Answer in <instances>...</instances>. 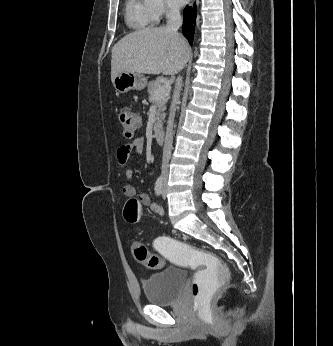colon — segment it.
Instances as JSON below:
<instances>
[{"mask_svg": "<svg viewBox=\"0 0 333 346\" xmlns=\"http://www.w3.org/2000/svg\"><path fill=\"white\" fill-rule=\"evenodd\" d=\"M119 120L123 136L131 139L139 128L138 116L124 107L119 111ZM123 216L127 223H137L140 216L139 200L129 199L124 206ZM155 239L157 241L151 248L157 254L150 252L145 244L134 241L131 245L134 258L149 269H161L164 260L160 256H164L174 268L197 271L190 289L192 311L200 315L202 310H210V299L217 294V288H226L231 279L230 269L223 264L224 258L193 248V244H183L182 240H174L173 235L166 233H156Z\"/></svg>", "mask_w": 333, "mask_h": 346, "instance_id": "colon-1", "label": "colon"}]
</instances>
